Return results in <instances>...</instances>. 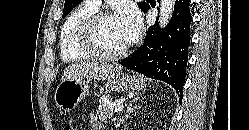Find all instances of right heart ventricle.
<instances>
[{
	"label": "right heart ventricle",
	"mask_w": 249,
	"mask_h": 130,
	"mask_svg": "<svg viewBox=\"0 0 249 130\" xmlns=\"http://www.w3.org/2000/svg\"><path fill=\"white\" fill-rule=\"evenodd\" d=\"M97 10H99V6L90 0H85L66 18L61 26L59 36V48L62 60L73 62L90 57L80 46L79 32L83 22Z\"/></svg>",
	"instance_id": "e07e8e85"
}]
</instances>
